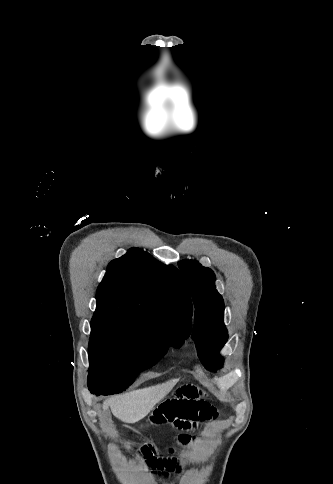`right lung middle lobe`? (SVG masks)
I'll return each instance as SVG.
<instances>
[{
    "mask_svg": "<svg viewBox=\"0 0 333 484\" xmlns=\"http://www.w3.org/2000/svg\"><path fill=\"white\" fill-rule=\"evenodd\" d=\"M189 333L175 322L156 325L121 316L94 315L89 341V389L104 394L126 389L141 371L155 365L169 346Z\"/></svg>",
    "mask_w": 333,
    "mask_h": 484,
    "instance_id": "1",
    "label": "right lung middle lobe"
}]
</instances>
